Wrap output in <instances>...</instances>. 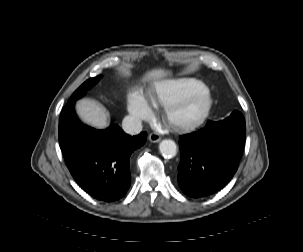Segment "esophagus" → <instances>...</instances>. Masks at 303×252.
<instances>
[{
	"instance_id": "esophagus-1",
	"label": "esophagus",
	"mask_w": 303,
	"mask_h": 252,
	"mask_svg": "<svg viewBox=\"0 0 303 252\" xmlns=\"http://www.w3.org/2000/svg\"><path fill=\"white\" fill-rule=\"evenodd\" d=\"M149 141L156 143L159 142L161 140V136L158 133H151L148 137Z\"/></svg>"
}]
</instances>
